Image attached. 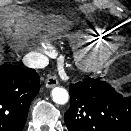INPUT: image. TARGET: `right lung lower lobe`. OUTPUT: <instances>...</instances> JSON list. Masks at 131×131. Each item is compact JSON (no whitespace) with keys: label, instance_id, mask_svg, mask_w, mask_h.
I'll return each instance as SVG.
<instances>
[{"label":"right lung lower lobe","instance_id":"obj_1","mask_svg":"<svg viewBox=\"0 0 131 131\" xmlns=\"http://www.w3.org/2000/svg\"><path fill=\"white\" fill-rule=\"evenodd\" d=\"M40 89L39 75L30 68L0 66V131H22L31 101Z\"/></svg>","mask_w":131,"mask_h":131}]
</instances>
